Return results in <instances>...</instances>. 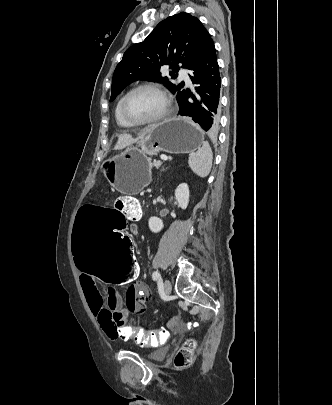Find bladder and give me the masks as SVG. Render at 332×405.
<instances>
[{
  "mask_svg": "<svg viewBox=\"0 0 332 405\" xmlns=\"http://www.w3.org/2000/svg\"><path fill=\"white\" fill-rule=\"evenodd\" d=\"M167 353H168V347L167 346H161V347L157 348L156 350L151 351L150 353H148L146 355V357L149 360L157 361V360H161V359L165 358Z\"/></svg>",
  "mask_w": 332,
  "mask_h": 405,
  "instance_id": "31cf9c89",
  "label": "bladder"
}]
</instances>
